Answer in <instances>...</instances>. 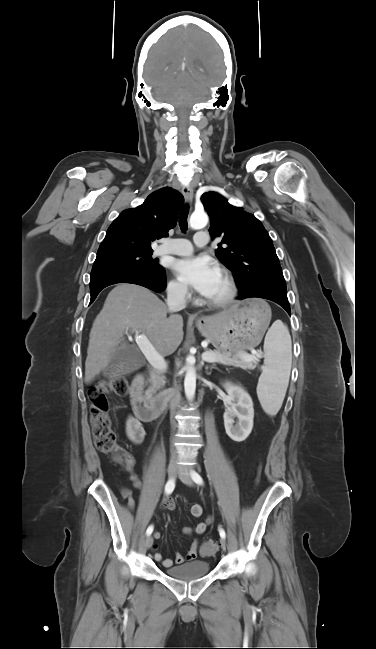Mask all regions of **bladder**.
Here are the masks:
<instances>
[{"label":"bladder","mask_w":376,"mask_h":649,"mask_svg":"<svg viewBox=\"0 0 376 649\" xmlns=\"http://www.w3.org/2000/svg\"><path fill=\"white\" fill-rule=\"evenodd\" d=\"M210 570L211 568L208 562L194 561L168 568L165 570V573L176 580L191 581L206 576Z\"/></svg>","instance_id":"obj_1"}]
</instances>
